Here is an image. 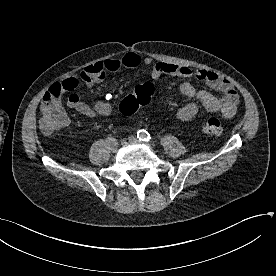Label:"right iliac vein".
I'll return each instance as SVG.
<instances>
[{"label":"right iliac vein","instance_id":"1","mask_svg":"<svg viewBox=\"0 0 276 276\" xmlns=\"http://www.w3.org/2000/svg\"><path fill=\"white\" fill-rule=\"evenodd\" d=\"M108 148L111 152H116L118 149V143H111L108 144Z\"/></svg>","mask_w":276,"mask_h":276}]
</instances>
